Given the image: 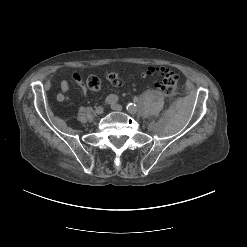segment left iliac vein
Masks as SVG:
<instances>
[{"mask_svg":"<svg viewBox=\"0 0 247 247\" xmlns=\"http://www.w3.org/2000/svg\"><path fill=\"white\" fill-rule=\"evenodd\" d=\"M111 109L114 111H122L123 108L120 104H112ZM132 115H134V114H132Z\"/></svg>","mask_w":247,"mask_h":247,"instance_id":"1","label":"left iliac vein"}]
</instances>
